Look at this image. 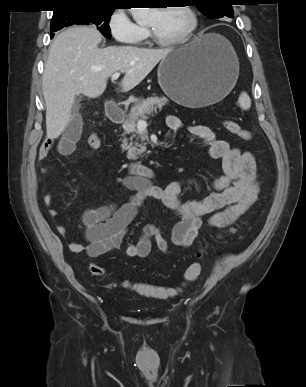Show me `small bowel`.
<instances>
[{
	"label": "small bowel",
	"instance_id": "c3829d8e",
	"mask_svg": "<svg viewBox=\"0 0 306 387\" xmlns=\"http://www.w3.org/2000/svg\"><path fill=\"white\" fill-rule=\"evenodd\" d=\"M167 127L172 133L181 130L182 121L174 115L166 117ZM81 132L78 120H73L66 127L57 142L56 149L62 156L71 155L76 147ZM188 132L201 139L208 155L220 159L222 174L204 184L209 192L201 200H182L181 195L187 187H193V179L175 180L164 187L152 185L145 178L132 177L124 181V186L131 192L121 204H109L97 208H88L82 214L85 227L86 243H71L70 251L85 253L98 257L109 251L119 249L125 239L131 222L148 199H156L170 212L178 217L172 228L171 240L179 247H189L197 238L204 223V217L210 215L209 224L225 228L233 224L251 205L259 194V175L255 157L248 151L232 147L226 140L217 137L215 132L205 125H191ZM52 140H45L39 147L38 157L44 159L53 149ZM43 173L47 172L42 167ZM44 203L51 216H56L50 192L44 194ZM62 236L67 234L63 225L57 226ZM167 254L169 244L160 229L154 224L145 225L136 241L130 242L124 249L129 258H145L153 248Z\"/></svg>",
	"mask_w": 306,
	"mask_h": 387
}]
</instances>
